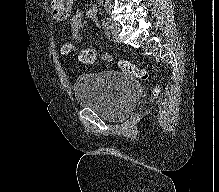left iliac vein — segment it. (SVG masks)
Here are the masks:
<instances>
[{
  "instance_id": "1",
  "label": "left iliac vein",
  "mask_w": 219,
  "mask_h": 192,
  "mask_svg": "<svg viewBox=\"0 0 219 192\" xmlns=\"http://www.w3.org/2000/svg\"><path fill=\"white\" fill-rule=\"evenodd\" d=\"M108 25H109V28H110V33L109 34H111V36L115 40H117L119 32H120V29H121V26L118 23L114 22V21H110L108 23Z\"/></svg>"
}]
</instances>
